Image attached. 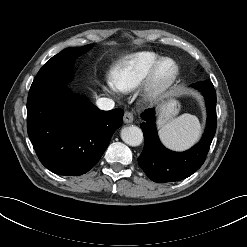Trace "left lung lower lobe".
<instances>
[{
  "label": "left lung lower lobe",
  "instance_id": "1",
  "mask_svg": "<svg viewBox=\"0 0 247 247\" xmlns=\"http://www.w3.org/2000/svg\"><path fill=\"white\" fill-rule=\"evenodd\" d=\"M202 92L207 106V124L200 142L185 152H173L160 142L155 128L154 110L147 109L140 124L145 139L144 149L138 158L139 166L146 175L158 183L174 182L195 173L204 163L216 132V92L210 81L191 85Z\"/></svg>",
  "mask_w": 247,
  "mask_h": 247
}]
</instances>
